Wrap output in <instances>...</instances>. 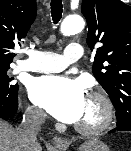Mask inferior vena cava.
<instances>
[{
	"mask_svg": "<svg viewBox=\"0 0 131 151\" xmlns=\"http://www.w3.org/2000/svg\"><path fill=\"white\" fill-rule=\"evenodd\" d=\"M44 115L28 110L23 116V120L19 128L16 130L20 137L21 143L26 146L28 151H34L36 138L42 124L44 123Z\"/></svg>",
	"mask_w": 131,
	"mask_h": 151,
	"instance_id": "obj_1",
	"label": "inferior vena cava"
}]
</instances>
